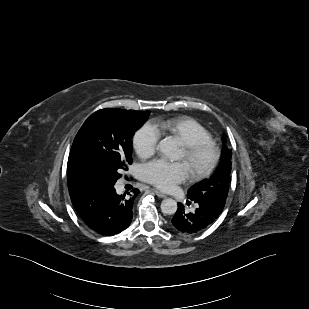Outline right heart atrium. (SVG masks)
<instances>
[{
	"label": "right heart atrium",
	"instance_id": "right-heart-atrium-1",
	"mask_svg": "<svg viewBox=\"0 0 309 309\" xmlns=\"http://www.w3.org/2000/svg\"><path fill=\"white\" fill-rule=\"evenodd\" d=\"M159 138L157 127L150 122L144 123L133 135V148L140 157H149L156 151Z\"/></svg>",
	"mask_w": 309,
	"mask_h": 309
}]
</instances>
